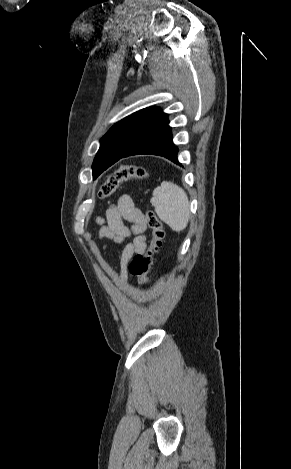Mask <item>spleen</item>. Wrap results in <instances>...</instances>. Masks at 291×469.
I'll return each instance as SVG.
<instances>
[{"mask_svg": "<svg viewBox=\"0 0 291 469\" xmlns=\"http://www.w3.org/2000/svg\"><path fill=\"white\" fill-rule=\"evenodd\" d=\"M156 214L174 231L184 230L190 218L189 199L178 185L163 181L154 189L150 200Z\"/></svg>", "mask_w": 291, "mask_h": 469, "instance_id": "3e777b00", "label": "spleen"}]
</instances>
